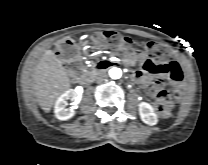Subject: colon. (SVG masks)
Returning <instances> with one entry per match:
<instances>
[{
  "mask_svg": "<svg viewBox=\"0 0 208 165\" xmlns=\"http://www.w3.org/2000/svg\"><path fill=\"white\" fill-rule=\"evenodd\" d=\"M96 42L100 45H106L112 49L124 50L132 46L129 37L117 32L108 31L102 36L96 38ZM57 52L64 57H69L74 52V45L71 41H61L57 46ZM148 59L155 61H163L168 58V51L165 47L157 43H150L147 46ZM172 106V99L166 90H160L156 100V110L159 115H168Z\"/></svg>",
  "mask_w": 208,
  "mask_h": 165,
  "instance_id": "1",
  "label": "colon"
}]
</instances>
